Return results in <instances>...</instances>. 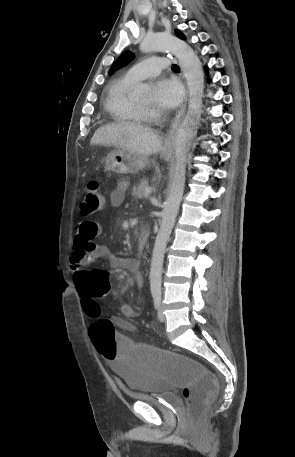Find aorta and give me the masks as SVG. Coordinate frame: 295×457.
<instances>
[{"mask_svg": "<svg viewBox=\"0 0 295 457\" xmlns=\"http://www.w3.org/2000/svg\"><path fill=\"white\" fill-rule=\"evenodd\" d=\"M140 50L143 53L158 50L172 52L179 61L189 89L188 110L175 139L176 162L170 177L169 193L162 211V222L155 239L151 260L150 290L155 295L161 293L164 254L184 192L188 153L201 120L204 73L201 61L194 51L187 43L172 35L164 33L147 35L140 43ZM137 92L139 95H146L148 88L141 85Z\"/></svg>", "mask_w": 295, "mask_h": 457, "instance_id": "obj_1", "label": "aorta"}]
</instances>
